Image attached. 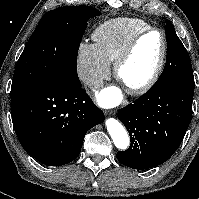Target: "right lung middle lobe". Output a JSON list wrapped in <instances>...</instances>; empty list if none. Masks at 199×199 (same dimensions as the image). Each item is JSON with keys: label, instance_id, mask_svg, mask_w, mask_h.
I'll list each match as a JSON object with an SVG mask.
<instances>
[{"label": "right lung middle lobe", "instance_id": "1", "mask_svg": "<svg viewBox=\"0 0 199 199\" xmlns=\"http://www.w3.org/2000/svg\"><path fill=\"white\" fill-rule=\"evenodd\" d=\"M89 6H67L47 12L39 21L15 68L10 97L49 78L79 83L77 53L87 20L99 16Z\"/></svg>", "mask_w": 199, "mask_h": 199}]
</instances>
